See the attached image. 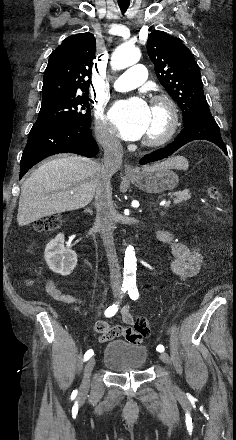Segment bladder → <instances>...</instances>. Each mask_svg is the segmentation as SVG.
<instances>
[{"label":"bladder","mask_w":236,"mask_h":440,"mask_svg":"<svg viewBox=\"0 0 236 440\" xmlns=\"http://www.w3.org/2000/svg\"><path fill=\"white\" fill-rule=\"evenodd\" d=\"M102 362L116 372H140L148 362V348L144 344L114 339L106 344Z\"/></svg>","instance_id":"1"}]
</instances>
